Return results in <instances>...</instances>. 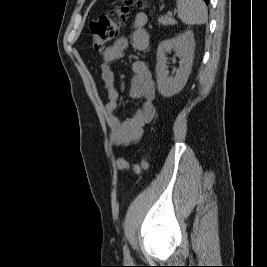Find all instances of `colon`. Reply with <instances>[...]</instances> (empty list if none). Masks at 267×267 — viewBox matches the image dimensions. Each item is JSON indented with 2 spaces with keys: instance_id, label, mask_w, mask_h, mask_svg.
Instances as JSON below:
<instances>
[{
  "instance_id": "colon-1",
  "label": "colon",
  "mask_w": 267,
  "mask_h": 267,
  "mask_svg": "<svg viewBox=\"0 0 267 267\" xmlns=\"http://www.w3.org/2000/svg\"><path fill=\"white\" fill-rule=\"evenodd\" d=\"M133 1L129 0L124 5L114 7L108 14L101 15L90 23L93 47L98 52L106 50V46L117 36L122 21L130 11ZM116 166L120 170H132L139 174L147 168V160L144 158L138 164H130L123 158L116 160Z\"/></svg>"
}]
</instances>
